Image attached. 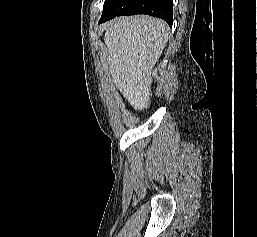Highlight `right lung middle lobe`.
<instances>
[{
    "mask_svg": "<svg viewBox=\"0 0 257 237\" xmlns=\"http://www.w3.org/2000/svg\"><path fill=\"white\" fill-rule=\"evenodd\" d=\"M114 0H105L103 8L107 7L110 5Z\"/></svg>",
    "mask_w": 257,
    "mask_h": 237,
    "instance_id": "1",
    "label": "right lung middle lobe"
}]
</instances>
